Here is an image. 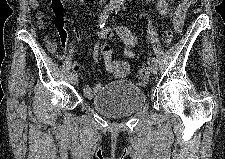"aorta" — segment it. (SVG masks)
<instances>
[{
  "label": "aorta",
  "instance_id": "obj_1",
  "mask_svg": "<svg viewBox=\"0 0 225 159\" xmlns=\"http://www.w3.org/2000/svg\"><path fill=\"white\" fill-rule=\"evenodd\" d=\"M121 0H110V6L111 7H119L121 5Z\"/></svg>",
  "mask_w": 225,
  "mask_h": 159
}]
</instances>
